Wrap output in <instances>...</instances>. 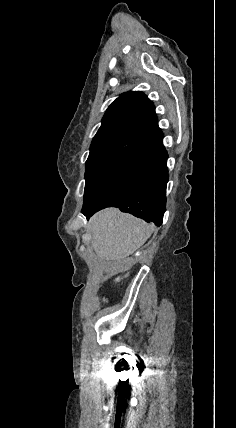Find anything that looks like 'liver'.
<instances>
[{
	"instance_id": "liver-1",
	"label": "liver",
	"mask_w": 236,
	"mask_h": 428,
	"mask_svg": "<svg viewBox=\"0 0 236 428\" xmlns=\"http://www.w3.org/2000/svg\"><path fill=\"white\" fill-rule=\"evenodd\" d=\"M154 226L117 208H107L92 216L87 230L95 254L103 260H123L139 250L153 232Z\"/></svg>"
}]
</instances>
